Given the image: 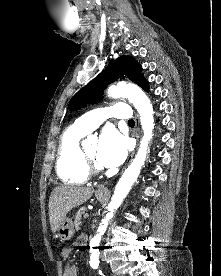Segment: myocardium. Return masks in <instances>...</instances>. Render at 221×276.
I'll return each instance as SVG.
<instances>
[{"instance_id":"f54148a6","label":"myocardium","mask_w":221,"mask_h":276,"mask_svg":"<svg viewBox=\"0 0 221 276\" xmlns=\"http://www.w3.org/2000/svg\"><path fill=\"white\" fill-rule=\"evenodd\" d=\"M84 159L89 169V173L97 174L102 170V167L96 162L94 158L89 156L86 151H83Z\"/></svg>"}]
</instances>
